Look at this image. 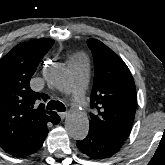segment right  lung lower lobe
I'll use <instances>...</instances> for the list:
<instances>
[{"mask_svg":"<svg viewBox=\"0 0 165 165\" xmlns=\"http://www.w3.org/2000/svg\"><path fill=\"white\" fill-rule=\"evenodd\" d=\"M59 122H60V117L57 114V116H55V118L52 119L51 123L58 124ZM47 134H48V129L46 127L45 130L40 135L23 141L18 147H16L12 151H9L8 153L16 157L29 156L41 148Z\"/></svg>","mask_w":165,"mask_h":165,"instance_id":"98d812e1","label":"right lung lower lobe"}]
</instances>
